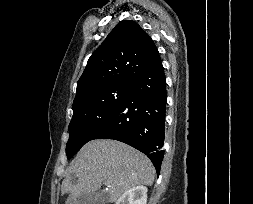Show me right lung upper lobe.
Here are the masks:
<instances>
[{
	"instance_id": "right-lung-upper-lobe-1",
	"label": "right lung upper lobe",
	"mask_w": 253,
	"mask_h": 204,
	"mask_svg": "<svg viewBox=\"0 0 253 204\" xmlns=\"http://www.w3.org/2000/svg\"><path fill=\"white\" fill-rule=\"evenodd\" d=\"M158 55L151 37L135 21L119 22L89 58L73 103L111 85L131 84Z\"/></svg>"
}]
</instances>
